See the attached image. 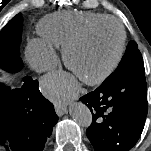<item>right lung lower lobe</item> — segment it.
Here are the masks:
<instances>
[{
  "instance_id": "98d812e1",
  "label": "right lung lower lobe",
  "mask_w": 151,
  "mask_h": 151,
  "mask_svg": "<svg viewBox=\"0 0 151 151\" xmlns=\"http://www.w3.org/2000/svg\"><path fill=\"white\" fill-rule=\"evenodd\" d=\"M23 81L18 89L0 84V114L6 119L0 146L6 151H42L58 116L40 93L38 81L28 76Z\"/></svg>"
}]
</instances>
